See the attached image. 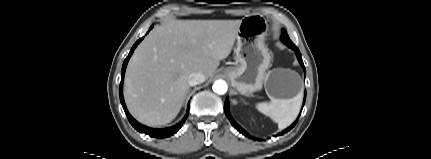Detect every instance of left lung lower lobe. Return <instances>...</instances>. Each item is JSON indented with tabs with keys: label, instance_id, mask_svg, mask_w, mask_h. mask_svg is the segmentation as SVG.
<instances>
[{
	"label": "left lung lower lobe",
	"instance_id": "0a47b994",
	"mask_svg": "<svg viewBox=\"0 0 431 159\" xmlns=\"http://www.w3.org/2000/svg\"><path fill=\"white\" fill-rule=\"evenodd\" d=\"M287 46L290 47L291 49H293L296 52L298 60H299L300 64L302 65V67L304 68V72H305L304 63L302 61L301 53L298 50V48L295 45H287ZM304 102H305V97H304ZM224 112H225L226 116L228 117L229 121L231 122V124L233 125V127H235L243 135L248 136V134L232 119V117H231V115L229 113V101H228V98L225 100ZM298 118H297V120L290 127H288L287 129H285L284 131H282L281 133H279L277 135H283L284 133H287L288 131H290L295 126V124L297 123ZM250 138H252V137H250Z\"/></svg>",
	"mask_w": 431,
	"mask_h": 159
}]
</instances>
